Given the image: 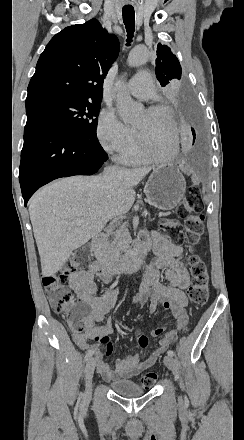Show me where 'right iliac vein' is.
Wrapping results in <instances>:
<instances>
[{
    "label": "right iliac vein",
    "instance_id": "obj_1",
    "mask_svg": "<svg viewBox=\"0 0 244 440\" xmlns=\"http://www.w3.org/2000/svg\"><path fill=\"white\" fill-rule=\"evenodd\" d=\"M95 366H96L95 358L89 359V361L85 366V377H86L85 401H84L85 404L88 402V399L91 396L92 378H93Z\"/></svg>",
    "mask_w": 244,
    "mask_h": 440
}]
</instances>
